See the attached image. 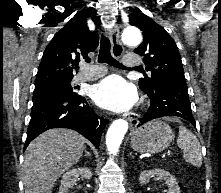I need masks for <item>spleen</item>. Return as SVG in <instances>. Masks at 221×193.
Returning <instances> with one entry per match:
<instances>
[{
	"label": "spleen",
	"instance_id": "1",
	"mask_svg": "<svg viewBox=\"0 0 221 193\" xmlns=\"http://www.w3.org/2000/svg\"><path fill=\"white\" fill-rule=\"evenodd\" d=\"M177 145L183 150L184 158L194 166H201L202 154L201 146L197 137L186 127H179Z\"/></svg>",
	"mask_w": 221,
	"mask_h": 193
}]
</instances>
